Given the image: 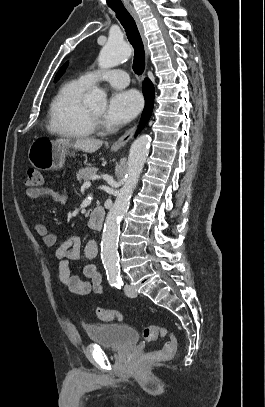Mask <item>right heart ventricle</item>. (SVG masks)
<instances>
[{
	"label": "right heart ventricle",
	"instance_id": "right-heart-ventricle-1",
	"mask_svg": "<svg viewBox=\"0 0 265 407\" xmlns=\"http://www.w3.org/2000/svg\"><path fill=\"white\" fill-rule=\"evenodd\" d=\"M88 85L74 79L61 86L53 98L47 128L50 133L66 138H87L94 130L90 125L83 95Z\"/></svg>",
	"mask_w": 265,
	"mask_h": 407
}]
</instances>
